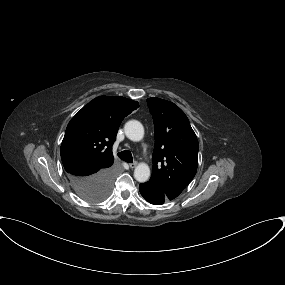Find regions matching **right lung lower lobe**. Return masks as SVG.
<instances>
[{
	"label": "right lung lower lobe",
	"instance_id": "right-lung-lower-lobe-1",
	"mask_svg": "<svg viewBox=\"0 0 285 285\" xmlns=\"http://www.w3.org/2000/svg\"><path fill=\"white\" fill-rule=\"evenodd\" d=\"M114 176L115 169L112 166L98 170L83 169L68 173V179L80 197L92 191L110 192Z\"/></svg>",
	"mask_w": 285,
	"mask_h": 285
}]
</instances>
